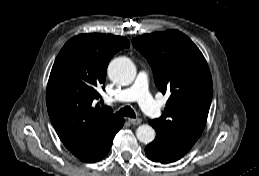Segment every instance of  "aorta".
<instances>
[{
	"mask_svg": "<svg viewBox=\"0 0 259 176\" xmlns=\"http://www.w3.org/2000/svg\"><path fill=\"white\" fill-rule=\"evenodd\" d=\"M108 76L113 82L126 86L134 81L136 68L130 59L118 57L109 63ZM155 136L154 128L147 124L140 125L136 130L137 139L144 144L151 143Z\"/></svg>",
	"mask_w": 259,
	"mask_h": 176,
	"instance_id": "obj_1",
	"label": "aorta"
}]
</instances>
